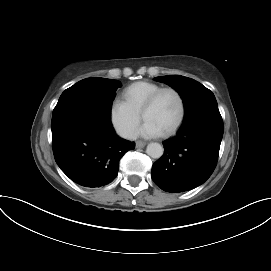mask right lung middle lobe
Instances as JSON below:
<instances>
[{
  "label": "right lung middle lobe",
  "instance_id": "obj_1",
  "mask_svg": "<svg viewBox=\"0 0 271 271\" xmlns=\"http://www.w3.org/2000/svg\"><path fill=\"white\" fill-rule=\"evenodd\" d=\"M121 83L112 79L87 78L66 89L53 110L52 123L63 118L103 111L110 115L112 101Z\"/></svg>",
  "mask_w": 271,
  "mask_h": 271
}]
</instances>
